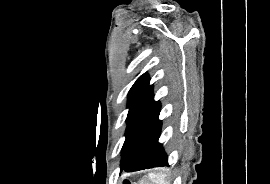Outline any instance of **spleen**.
Here are the masks:
<instances>
[{
    "instance_id": "1",
    "label": "spleen",
    "mask_w": 270,
    "mask_h": 184,
    "mask_svg": "<svg viewBox=\"0 0 270 184\" xmlns=\"http://www.w3.org/2000/svg\"><path fill=\"white\" fill-rule=\"evenodd\" d=\"M138 184H167V183L165 181L164 174L155 175L153 173H150L148 174V176L142 178Z\"/></svg>"
}]
</instances>
